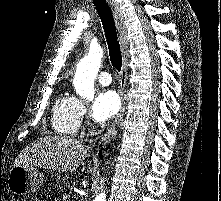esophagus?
<instances>
[{"instance_id": "34e87169", "label": "esophagus", "mask_w": 221, "mask_h": 201, "mask_svg": "<svg viewBox=\"0 0 221 201\" xmlns=\"http://www.w3.org/2000/svg\"><path fill=\"white\" fill-rule=\"evenodd\" d=\"M106 1L108 2L109 6L112 9V12L114 14V18L116 21V25L118 28L119 42H120L121 51L123 55V63H122L121 77H120V83H119V93L121 96L122 105L112 125L106 131V133L102 136L101 140L103 143H109L116 136L118 125L124 114L125 104H126L125 86L127 82V71H128V38H127V29L124 24V17L119 8L118 3H116L115 0H106Z\"/></svg>"}]
</instances>
